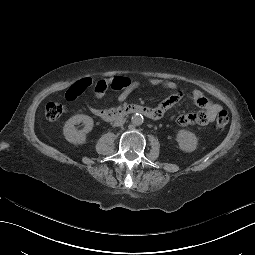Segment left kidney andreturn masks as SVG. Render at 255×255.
Listing matches in <instances>:
<instances>
[{
	"instance_id": "obj_1",
	"label": "left kidney",
	"mask_w": 255,
	"mask_h": 255,
	"mask_svg": "<svg viewBox=\"0 0 255 255\" xmlns=\"http://www.w3.org/2000/svg\"><path fill=\"white\" fill-rule=\"evenodd\" d=\"M176 133V141L178 142L179 149L186 153H191L196 150L198 140L193 132L188 130H178Z\"/></svg>"
}]
</instances>
